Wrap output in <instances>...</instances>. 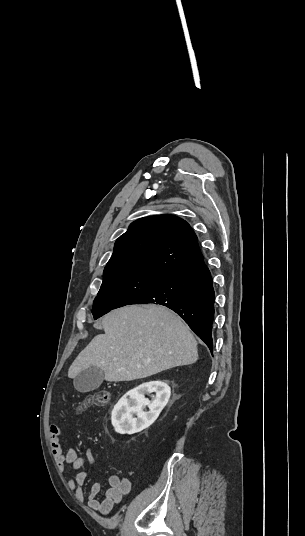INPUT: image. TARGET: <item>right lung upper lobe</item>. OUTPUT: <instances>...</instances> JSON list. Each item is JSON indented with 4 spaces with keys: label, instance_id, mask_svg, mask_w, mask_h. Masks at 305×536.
Here are the masks:
<instances>
[{
    "label": "right lung upper lobe",
    "instance_id": "right-lung-upper-lobe-1",
    "mask_svg": "<svg viewBox=\"0 0 305 536\" xmlns=\"http://www.w3.org/2000/svg\"><path fill=\"white\" fill-rule=\"evenodd\" d=\"M203 260L189 224L173 215L138 219L121 235L104 269V277L143 273L169 275Z\"/></svg>",
    "mask_w": 305,
    "mask_h": 536
}]
</instances>
